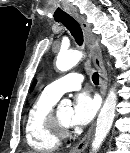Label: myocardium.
I'll list each match as a JSON object with an SVG mask.
<instances>
[{"instance_id":"f54148a6","label":"myocardium","mask_w":130,"mask_h":153,"mask_svg":"<svg viewBox=\"0 0 130 153\" xmlns=\"http://www.w3.org/2000/svg\"><path fill=\"white\" fill-rule=\"evenodd\" d=\"M48 125L49 127L59 136L65 137L69 134L70 125H66L61 122L58 117L57 112L53 108L48 115Z\"/></svg>"}]
</instances>
